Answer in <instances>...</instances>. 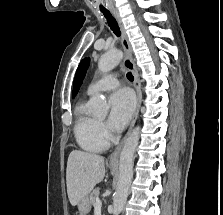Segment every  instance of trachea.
<instances>
[{
  "label": "trachea",
  "mask_w": 223,
  "mask_h": 215,
  "mask_svg": "<svg viewBox=\"0 0 223 215\" xmlns=\"http://www.w3.org/2000/svg\"><path fill=\"white\" fill-rule=\"evenodd\" d=\"M101 12L103 13L104 17L107 19V23L110 29L113 31V33L116 36H120L121 35L120 27L118 26V23L116 22L115 18L110 14L108 10H101ZM127 78L128 80H130V82H133L134 80V76L132 75L131 72L127 73Z\"/></svg>",
  "instance_id": "obj_1"
}]
</instances>
